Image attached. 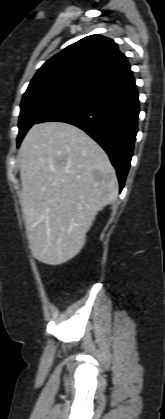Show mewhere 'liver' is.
Segmentation results:
<instances>
[{
	"label": "liver",
	"instance_id": "1",
	"mask_svg": "<svg viewBox=\"0 0 165 419\" xmlns=\"http://www.w3.org/2000/svg\"><path fill=\"white\" fill-rule=\"evenodd\" d=\"M21 207L32 255L60 265L83 248L97 213L118 195L105 151L63 122L34 125L20 150Z\"/></svg>",
	"mask_w": 165,
	"mask_h": 419
}]
</instances>
